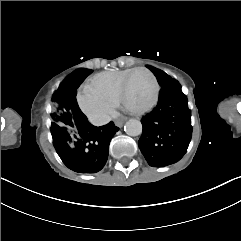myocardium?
Instances as JSON below:
<instances>
[{"instance_id":"myocardium-1","label":"myocardium","mask_w":241,"mask_h":241,"mask_svg":"<svg viewBox=\"0 0 241 241\" xmlns=\"http://www.w3.org/2000/svg\"><path fill=\"white\" fill-rule=\"evenodd\" d=\"M142 72L146 73L147 76L149 75L148 78H150V80L153 81V92H152V101L151 102H156L157 92H158V79H156V75H154V72H152V70H147L144 68H137L133 72H131L129 75L123 76L122 83H121L122 84V86H121L122 100L121 101L127 100V91H125V89H124L125 82H127L128 80L133 78V76L137 75L138 73H142ZM157 101H158V98H157ZM153 107H154L153 103H148V105L146 106V109H143V114H148V110H151V108H153Z\"/></svg>"}]
</instances>
